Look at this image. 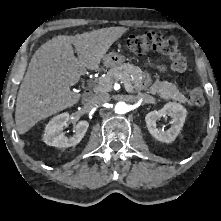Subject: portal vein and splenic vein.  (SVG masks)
Masks as SVG:
<instances>
[{
    "label": "portal vein and splenic vein",
    "instance_id": "portal-vein-and-splenic-vein-1",
    "mask_svg": "<svg viewBox=\"0 0 221 221\" xmlns=\"http://www.w3.org/2000/svg\"><path fill=\"white\" fill-rule=\"evenodd\" d=\"M124 85L126 86V88H129V84L124 82Z\"/></svg>",
    "mask_w": 221,
    "mask_h": 221
}]
</instances>
